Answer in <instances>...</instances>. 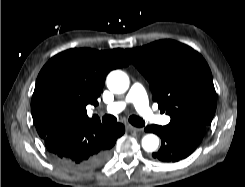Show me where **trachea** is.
Masks as SVG:
<instances>
[{"label": "trachea", "mask_w": 245, "mask_h": 187, "mask_svg": "<svg viewBox=\"0 0 245 187\" xmlns=\"http://www.w3.org/2000/svg\"><path fill=\"white\" fill-rule=\"evenodd\" d=\"M128 120L132 125L136 127H142L145 125V121L136 115L130 116ZM102 121L104 124H113L114 122L117 121V118L113 115H105Z\"/></svg>", "instance_id": "trachea-1"}]
</instances>
